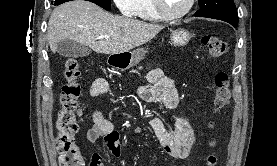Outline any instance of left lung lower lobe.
I'll list each match as a JSON object with an SVG mask.
<instances>
[{
  "instance_id": "0a47b994",
  "label": "left lung lower lobe",
  "mask_w": 277,
  "mask_h": 166,
  "mask_svg": "<svg viewBox=\"0 0 277 166\" xmlns=\"http://www.w3.org/2000/svg\"><path fill=\"white\" fill-rule=\"evenodd\" d=\"M233 27H237V24H234V23H230Z\"/></svg>"
}]
</instances>
